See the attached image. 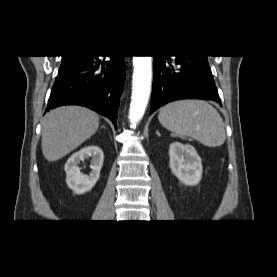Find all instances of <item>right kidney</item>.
<instances>
[{"label": "right kidney", "instance_id": "1", "mask_svg": "<svg viewBox=\"0 0 277 277\" xmlns=\"http://www.w3.org/2000/svg\"><path fill=\"white\" fill-rule=\"evenodd\" d=\"M91 158V173L85 175L80 172L78 164L84 159ZM104 154L98 146H88L74 153L65 164L66 183L76 194L90 191L96 184L103 166Z\"/></svg>", "mask_w": 277, "mask_h": 277}]
</instances>
